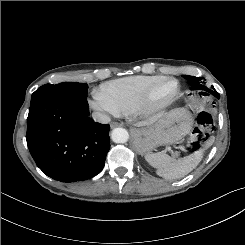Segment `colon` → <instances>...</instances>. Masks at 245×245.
Returning <instances> with one entry per match:
<instances>
[{
  "label": "colon",
  "instance_id": "colon-1",
  "mask_svg": "<svg viewBox=\"0 0 245 245\" xmlns=\"http://www.w3.org/2000/svg\"><path fill=\"white\" fill-rule=\"evenodd\" d=\"M213 128L211 113L204 114L199 112L196 126L191 133V145L194 151L197 152L203 149Z\"/></svg>",
  "mask_w": 245,
  "mask_h": 245
}]
</instances>
